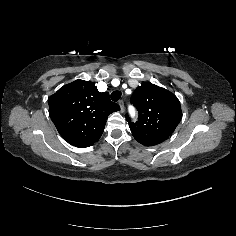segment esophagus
<instances>
[{
  "instance_id": "34e87169",
  "label": "esophagus",
  "mask_w": 236,
  "mask_h": 236,
  "mask_svg": "<svg viewBox=\"0 0 236 236\" xmlns=\"http://www.w3.org/2000/svg\"><path fill=\"white\" fill-rule=\"evenodd\" d=\"M119 106L121 108V113H123L124 112V102H123V100H119Z\"/></svg>"
}]
</instances>
